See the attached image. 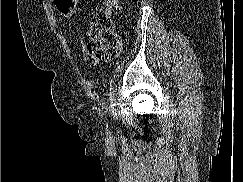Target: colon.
<instances>
[{
    "instance_id": "1",
    "label": "colon",
    "mask_w": 243,
    "mask_h": 182,
    "mask_svg": "<svg viewBox=\"0 0 243 182\" xmlns=\"http://www.w3.org/2000/svg\"><path fill=\"white\" fill-rule=\"evenodd\" d=\"M59 13L66 18L74 14L77 0H54ZM119 9V0H105V4L90 16L88 32L89 53L99 59L115 58L121 49L120 39L115 32L114 17Z\"/></svg>"
}]
</instances>
